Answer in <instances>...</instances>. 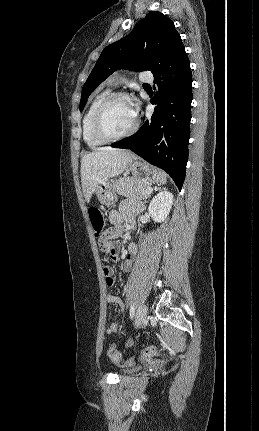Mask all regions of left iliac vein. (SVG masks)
<instances>
[{
    "mask_svg": "<svg viewBox=\"0 0 259 431\" xmlns=\"http://www.w3.org/2000/svg\"><path fill=\"white\" fill-rule=\"evenodd\" d=\"M147 313H148V308L146 305H140V307L137 310V314H136V320H135V325L136 327L141 326L146 317H147Z\"/></svg>",
    "mask_w": 259,
    "mask_h": 431,
    "instance_id": "obj_1",
    "label": "left iliac vein"
}]
</instances>
